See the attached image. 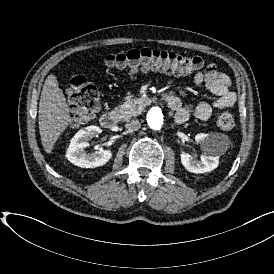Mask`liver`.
I'll list each match as a JSON object with an SVG mask.
<instances>
[{"mask_svg": "<svg viewBox=\"0 0 274 274\" xmlns=\"http://www.w3.org/2000/svg\"><path fill=\"white\" fill-rule=\"evenodd\" d=\"M71 112L56 75L50 74L44 82L38 110L39 134L47 154H52L57 140L72 123Z\"/></svg>", "mask_w": 274, "mask_h": 274, "instance_id": "obj_1", "label": "liver"}]
</instances>
